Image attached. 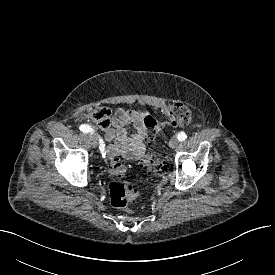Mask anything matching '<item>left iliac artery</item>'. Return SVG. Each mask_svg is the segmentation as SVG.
<instances>
[{
    "mask_svg": "<svg viewBox=\"0 0 275 275\" xmlns=\"http://www.w3.org/2000/svg\"><path fill=\"white\" fill-rule=\"evenodd\" d=\"M187 138V134L185 133V132H179V134H178V139L180 140V141H184L185 139Z\"/></svg>",
    "mask_w": 275,
    "mask_h": 275,
    "instance_id": "1",
    "label": "left iliac artery"
}]
</instances>
